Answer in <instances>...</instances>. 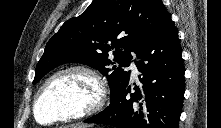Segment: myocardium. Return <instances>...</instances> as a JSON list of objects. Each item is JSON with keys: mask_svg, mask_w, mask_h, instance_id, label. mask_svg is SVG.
<instances>
[{"mask_svg": "<svg viewBox=\"0 0 221 128\" xmlns=\"http://www.w3.org/2000/svg\"><path fill=\"white\" fill-rule=\"evenodd\" d=\"M69 73L80 75L90 81L92 86L91 99L88 102H86L85 106L77 112H68L60 116H57L48 122H41L37 117V107L42 98V95L44 94L45 90L47 89V87L50 85L51 82H53L58 77ZM105 99H106V88L100 74L96 70H94L89 66L81 64L70 65L51 74L41 84L34 98L33 116L38 123L47 126L63 122H70L96 113L104 105Z\"/></svg>", "mask_w": 221, "mask_h": 128, "instance_id": "1", "label": "myocardium"}]
</instances>
